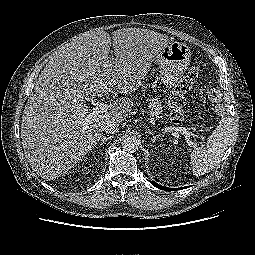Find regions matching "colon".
I'll use <instances>...</instances> for the list:
<instances>
[{
    "label": "colon",
    "instance_id": "1",
    "mask_svg": "<svg viewBox=\"0 0 255 255\" xmlns=\"http://www.w3.org/2000/svg\"><path fill=\"white\" fill-rule=\"evenodd\" d=\"M200 69L198 66H192L183 79L175 86L169 96V106L171 109V119L174 123H181L184 120L185 94L192 88L194 80L198 77ZM208 98L216 101L220 93L215 88H210L207 92Z\"/></svg>",
    "mask_w": 255,
    "mask_h": 255
}]
</instances>
